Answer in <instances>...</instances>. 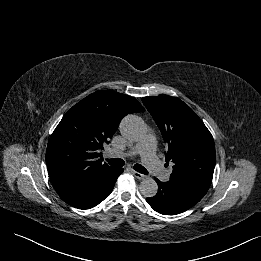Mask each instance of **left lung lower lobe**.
Returning a JSON list of instances; mask_svg holds the SVG:
<instances>
[{
    "label": "left lung lower lobe",
    "instance_id": "1",
    "mask_svg": "<svg viewBox=\"0 0 261 261\" xmlns=\"http://www.w3.org/2000/svg\"><path fill=\"white\" fill-rule=\"evenodd\" d=\"M158 184V193L151 198H146L147 203L158 213L176 215L182 213L199 202L208 191V187L184 181L170 179Z\"/></svg>",
    "mask_w": 261,
    "mask_h": 261
}]
</instances>
